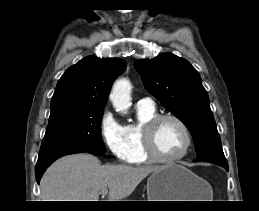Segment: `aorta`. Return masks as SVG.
<instances>
[{
  "mask_svg": "<svg viewBox=\"0 0 259 211\" xmlns=\"http://www.w3.org/2000/svg\"><path fill=\"white\" fill-rule=\"evenodd\" d=\"M131 84L127 79L117 80L112 88L110 99L116 111L126 113L131 105Z\"/></svg>",
  "mask_w": 259,
  "mask_h": 211,
  "instance_id": "1",
  "label": "aorta"
}]
</instances>
